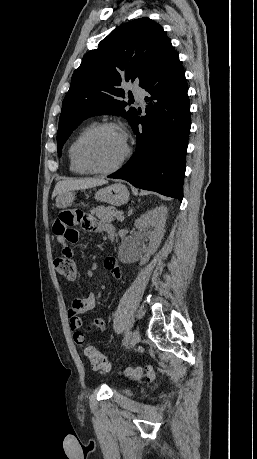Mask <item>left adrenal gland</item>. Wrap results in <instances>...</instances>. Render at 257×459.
<instances>
[{"instance_id": "left-adrenal-gland-1", "label": "left adrenal gland", "mask_w": 257, "mask_h": 459, "mask_svg": "<svg viewBox=\"0 0 257 459\" xmlns=\"http://www.w3.org/2000/svg\"><path fill=\"white\" fill-rule=\"evenodd\" d=\"M132 212H133V209L131 208V209L129 210L128 214L130 215V214H132Z\"/></svg>"}]
</instances>
